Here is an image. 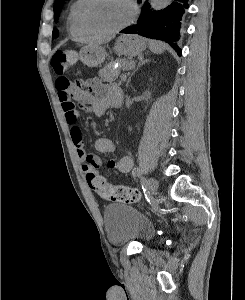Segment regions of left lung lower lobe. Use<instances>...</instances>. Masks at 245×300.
<instances>
[{"label":"left lung lower lobe","instance_id":"left-lung-lower-lobe-1","mask_svg":"<svg viewBox=\"0 0 245 300\" xmlns=\"http://www.w3.org/2000/svg\"><path fill=\"white\" fill-rule=\"evenodd\" d=\"M141 2V0H138ZM188 0H175L163 10L151 11L147 1L143 4L136 25L123 29L120 33L138 34L147 38L159 39L169 43L181 56L177 40L182 16L188 8Z\"/></svg>","mask_w":245,"mask_h":300}]
</instances>
